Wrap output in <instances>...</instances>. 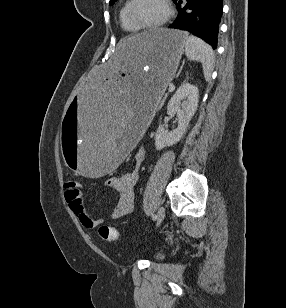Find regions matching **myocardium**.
<instances>
[{
	"label": "myocardium",
	"instance_id": "obj_1",
	"mask_svg": "<svg viewBox=\"0 0 286 308\" xmlns=\"http://www.w3.org/2000/svg\"><path fill=\"white\" fill-rule=\"evenodd\" d=\"M138 0H131L129 9H128V17L130 21L139 29H145V30H152V29H158L164 26L172 17L173 15V9L170 0H163V4L166 9L165 16L158 22L153 24H144L141 23L135 16V6Z\"/></svg>",
	"mask_w": 286,
	"mask_h": 308
}]
</instances>
